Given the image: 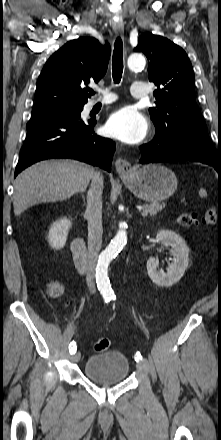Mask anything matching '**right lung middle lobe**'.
Returning <instances> with one entry per match:
<instances>
[{"mask_svg": "<svg viewBox=\"0 0 221 440\" xmlns=\"http://www.w3.org/2000/svg\"><path fill=\"white\" fill-rule=\"evenodd\" d=\"M82 109H83V106L39 109L36 111H32V116H38V115L49 114V113H79L82 111Z\"/></svg>", "mask_w": 221, "mask_h": 440, "instance_id": "dd1d6c3e", "label": "right lung middle lobe"}]
</instances>
